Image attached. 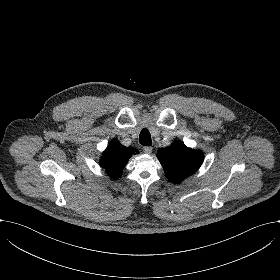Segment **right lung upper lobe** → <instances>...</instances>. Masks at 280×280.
Segmentation results:
<instances>
[{"label":"right lung upper lobe","instance_id":"cb5924a9","mask_svg":"<svg viewBox=\"0 0 280 280\" xmlns=\"http://www.w3.org/2000/svg\"><path fill=\"white\" fill-rule=\"evenodd\" d=\"M136 152L135 149L123 146L113 139L104 151L100 165L114 180L118 179L129 158Z\"/></svg>","mask_w":280,"mask_h":280}]
</instances>
